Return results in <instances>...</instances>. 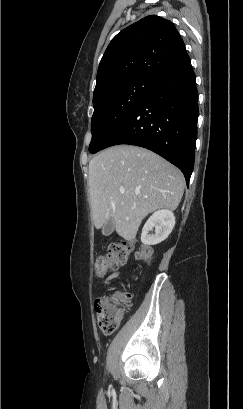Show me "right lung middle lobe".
Here are the masks:
<instances>
[{
	"instance_id": "obj_1",
	"label": "right lung middle lobe",
	"mask_w": 243,
	"mask_h": 409,
	"mask_svg": "<svg viewBox=\"0 0 243 409\" xmlns=\"http://www.w3.org/2000/svg\"><path fill=\"white\" fill-rule=\"evenodd\" d=\"M155 83L150 79H132L116 85L93 101L91 153L105 148L112 134L134 112Z\"/></svg>"
}]
</instances>
